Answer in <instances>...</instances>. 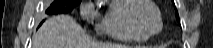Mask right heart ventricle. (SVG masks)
Returning <instances> with one entry per match:
<instances>
[{"mask_svg":"<svg viewBox=\"0 0 213 48\" xmlns=\"http://www.w3.org/2000/svg\"><path fill=\"white\" fill-rule=\"evenodd\" d=\"M131 2L132 0H114L101 16L99 31L122 42L145 41L147 38L136 34L127 21L126 10Z\"/></svg>","mask_w":213,"mask_h":48,"instance_id":"right-heart-ventricle-1","label":"right heart ventricle"}]
</instances>
